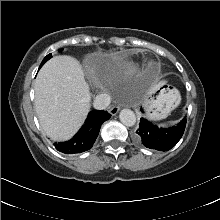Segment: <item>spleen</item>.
I'll return each mask as SVG.
<instances>
[{"mask_svg": "<svg viewBox=\"0 0 220 220\" xmlns=\"http://www.w3.org/2000/svg\"><path fill=\"white\" fill-rule=\"evenodd\" d=\"M160 126H165V124H160Z\"/></svg>", "mask_w": 220, "mask_h": 220, "instance_id": "obj_1", "label": "spleen"}]
</instances>
